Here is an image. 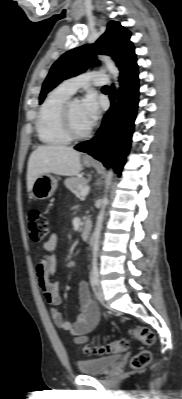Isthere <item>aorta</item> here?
<instances>
[{
    "instance_id": "762f6f07",
    "label": "aorta",
    "mask_w": 182,
    "mask_h": 399,
    "mask_svg": "<svg viewBox=\"0 0 182 399\" xmlns=\"http://www.w3.org/2000/svg\"><path fill=\"white\" fill-rule=\"evenodd\" d=\"M98 59L103 62L106 66V69L109 71V73L112 75L114 84L116 89L119 88V82H118V77H119V70L116 67L114 61L112 60L111 57L106 56V55H99ZM77 101V100H75ZM113 177V170L112 168L109 169L107 178H106V189H105V195L102 199V205L100 212L97 216L96 220V226L92 235V252H93V259H92V264L95 266L97 264V256H98V251H99V241H100V235H101V229H102V223L105 217V208L108 203V197H107V192L111 183V179Z\"/></svg>"
}]
</instances>
